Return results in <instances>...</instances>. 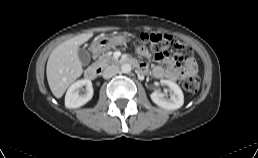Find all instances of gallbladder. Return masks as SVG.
<instances>
[{"label": "gallbladder", "instance_id": "bac80fb5", "mask_svg": "<svg viewBox=\"0 0 258 158\" xmlns=\"http://www.w3.org/2000/svg\"><path fill=\"white\" fill-rule=\"evenodd\" d=\"M78 57L83 65H88L90 63L91 55L85 48H79Z\"/></svg>", "mask_w": 258, "mask_h": 158}]
</instances>
